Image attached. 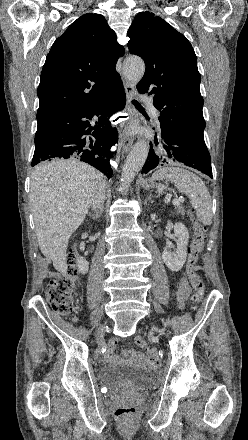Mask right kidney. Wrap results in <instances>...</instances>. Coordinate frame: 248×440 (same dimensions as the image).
<instances>
[{"mask_svg":"<svg viewBox=\"0 0 248 440\" xmlns=\"http://www.w3.org/2000/svg\"><path fill=\"white\" fill-rule=\"evenodd\" d=\"M76 264L80 273L86 274L88 272L89 263L85 258L79 256L78 254L76 255Z\"/></svg>","mask_w":248,"mask_h":440,"instance_id":"right-kidney-1","label":"right kidney"}]
</instances>
